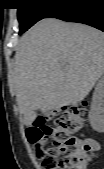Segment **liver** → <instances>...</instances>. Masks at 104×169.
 I'll list each match as a JSON object with an SVG mask.
<instances>
[{"label": "liver", "mask_w": 104, "mask_h": 169, "mask_svg": "<svg viewBox=\"0 0 104 169\" xmlns=\"http://www.w3.org/2000/svg\"><path fill=\"white\" fill-rule=\"evenodd\" d=\"M104 72V34L87 25L46 18L20 39L12 83L23 123L76 105Z\"/></svg>", "instance_id": "6515ba94"}]
</instances>
